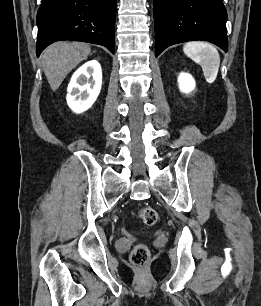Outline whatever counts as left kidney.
<instances>
[{
  "instance_id": "1",
  "label": "left kidney",
  "mask_w": 261,
  "mask_h": 306,
  "mask_svg": "<svg viewBox=\"0 0 261 306\" xmlns=\"http://www.w3.org/2000/svg\"><path fill=\"white\" fill-rule=\"evenodd\" d=\"M179 89L182 93L189 94L195 88V80L189 73H180L178 77Z\"/></svg>"
}]
</instances>
